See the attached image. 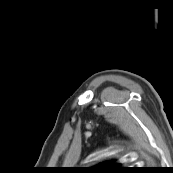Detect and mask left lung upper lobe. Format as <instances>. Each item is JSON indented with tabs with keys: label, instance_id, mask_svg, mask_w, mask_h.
I'll return each mask as SVG.
<instances>
[{
	"label": "left lung upper lobe",
	"instance_id": "left-lung-upper-lobe-1",
	"mask_svg": "<svg viewBox=\"0 0 173 173\" xmlns=\"http://www.w3.org/2000/svg\"><path fill=\"white\" fill-rule=\"evenodd\" d=\"M87 171L90 173H127L129 168L120 167L117 163L106 162L96 167H91Z\"/></svg>",
	"mask_w": 173,
	"mask_h": 173
}]
</instances>
